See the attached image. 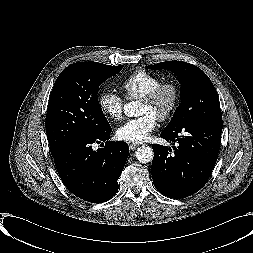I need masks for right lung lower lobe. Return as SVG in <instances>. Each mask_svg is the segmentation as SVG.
<instances>
[{
	"instance_id": "1",
	"label": "right lung lower lobe",
	"mask_w": 253,
	"mask_h": 253,
	"mask_svg": "<svg viewBox=\"0 0 253 253\" xmlns=\"http://www.w3.org/2000/svg\"><path fill=\"white\" fill-rule=\"evenodd\" d=\"M111 131L109 125L96 134L78 135L52 153L64 185L85 201L102 203L118 191L129 147L126 142L108 141ZM94 143L104 147L93 150Z\"/></svg>"
}]
</instances>
